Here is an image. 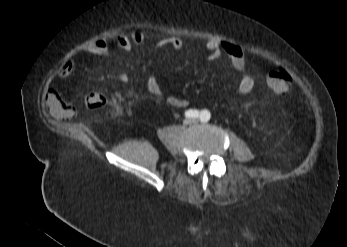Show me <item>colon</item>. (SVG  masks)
<instances>
[{"instance_id": "5ec220e1", "label": "colon", "mask_w": 347, "mask_h": 247, "mask_svg": "<svg viewBox=\"0 0 347 247\" xmlns=\"http://www.w3.org/2000/svg\"><path fill=\"white\" fill-rule=\"evenodd\" d=\"M267 83L271 91L276 95H286L293 88V80L290 74L284 69H276L271 71L267 77ZM106 102V98L98 93H87L81 99L82 106L87 110L102 107Z\"/></svg>"}]
</instances>
